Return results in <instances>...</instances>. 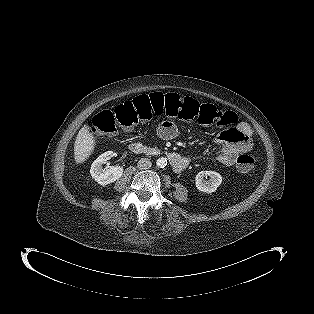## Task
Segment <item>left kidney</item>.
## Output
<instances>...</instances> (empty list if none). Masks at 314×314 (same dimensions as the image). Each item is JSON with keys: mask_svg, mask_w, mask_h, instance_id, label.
Listing matches in <instances>:
<instances>
[{"mask_svg": "<svg viewBox=\"0 0 314 314\" xmlns=\"http://www.w3.org/2000/svg\"><path fill=\"white\" fill-rule=\"evenodd\" d=\"M207 176L211 177L210 181L204 179ZM221 183L222 176L215 171H201L195 177L197 189L205 193L215 192Z\"/></svg>", "mask_w": 314, "mask_h": 314, "instance_id": "1", "label": "left kidney"}]
</instances>
